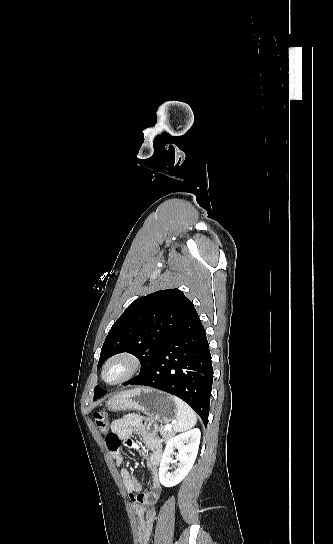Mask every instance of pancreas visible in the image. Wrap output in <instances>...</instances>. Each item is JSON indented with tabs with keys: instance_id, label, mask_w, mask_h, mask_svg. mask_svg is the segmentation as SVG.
<instances>
[{
	"instance_id": "cf45deb5",
	"label": "pancreas",
	"mask_w": 333,
	"mask_h": 544,
	"mask_svg": "<svg viewBox=\"0 0 333 544\" xmlns=\"http://www.w3.org/2000/svg\"><path fill=\"white\" fill-rule=\"evenodd\" d=\"M159 431L165 442H167L174 435L172 430L165 431L163 427H160Z\"/></svg>"
}]
</instances>
